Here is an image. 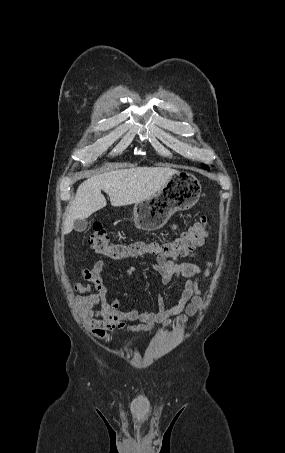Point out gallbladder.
I'll return each instance as SVG.
<instances>
[{"label": "gallbladder", "instance_id": "gallbladder-1", "mask_svg": "<svg viewBox=\"0 0 285 453\" xmlns=\"http://www.w3.org/2000/svg\"><path fill=\"white\" fill-rule=\"evenodd\" d=\"M88 222L86 219H77L74 221V230L77 232H82L87 228Z\"/></svg>", "mask_w": 285, "mask_h": 453}]
</instances>
